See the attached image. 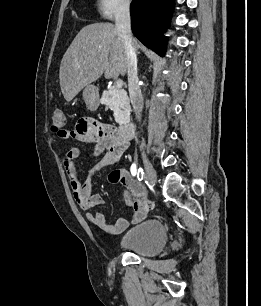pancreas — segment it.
Segmentation results:
<instances>
[{"instance_id":"cf45deb5","label":"pancreas","mask_w":261,"mask_h":306,"mask_svg":"<svg viewBox=\"0 0 261 306\" xmlns=\"http://www.w3.org/2000/svg\"><path fill=\"white\" fill-rule=\"evenodd\" d=\"M101 103L107 105L113 112L117 123H124L130 117V104L127 92L115 85L103 91Z\"/></svg>"}]
</instances>
